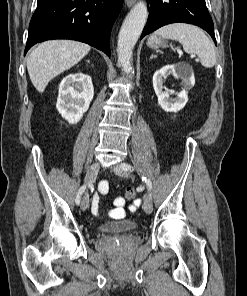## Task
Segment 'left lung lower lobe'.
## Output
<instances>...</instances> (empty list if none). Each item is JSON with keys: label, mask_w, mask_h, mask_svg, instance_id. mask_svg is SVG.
<instances>
[{"label": "left lung lower lobe", "mask_w": 247, "mask_h": 296, "mask_svg": "<svg viewBox=\"0 0 247 296\" xmlns=\"http://www.w3.org/2000/svg\"><path fill=\"white\" fill-rule=\"evenodd\" d=\"M149 17L141 38L171 23H189L206 30L216 44L214 25L205 0H147Z\"/></svg>", "instance_id": "obj_1"}]
</instances>
